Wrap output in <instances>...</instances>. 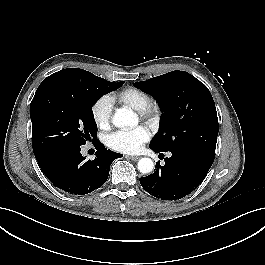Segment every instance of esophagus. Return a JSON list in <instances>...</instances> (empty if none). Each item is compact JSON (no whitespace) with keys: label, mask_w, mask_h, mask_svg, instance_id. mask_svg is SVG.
<instances>
[{"label":"esophagus","mask_w":265,"mask_h":265,"mask_svg":"<svg viewBox=\"0 0 265 265\" xmlns=\"http://www.w3.org/2000/svg\"><path fill=\"white\" fill-rule=\"evenodd\" d=\"M127 158L132 160V161H137L138 159H140L139 156H127Z\"/></svg>","instance_id":"1"}]
</instances>
